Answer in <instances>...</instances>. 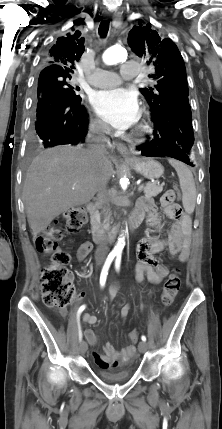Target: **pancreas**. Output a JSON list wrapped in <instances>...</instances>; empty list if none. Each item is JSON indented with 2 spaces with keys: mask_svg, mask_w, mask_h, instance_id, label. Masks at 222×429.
I'll return each mask as SVG.
<instances>
[{
  "mask_svg": "<svg viewBox=\"0 0 222 429\" xmlns=\"http://www.w3.org/2000/svg\"><path fill=\"white\" fill-rule=\"evenodd\" d=\"M163 190V185H156L152 183H147L146 186H144L143 192L145 196L147 197H155L159 193H161ZM108 218H106L102 224V226L105 228L108 225Z\"/></svg>",
  "mask_w": 222,
  "mask_h": 429,
  "instance_id": "cf45deb5",
  "label": "pancreas"
}]
</instances>
